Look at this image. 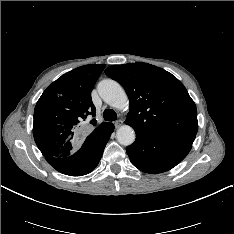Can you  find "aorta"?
I'll return each mask as SVG.
<instances>
[{
	"mask_svg": "<svg viewBox=\"0 0 234 234\" xmlns=\"http://www.w3.org/2000/svg\"><path fill=\"white\" fill-rule=\"evenodd\" d=\"M101 98L111 107L122 110L128 106L129 100L122 86L111 79H106L98 84ZM135 131L129 125L121 126L116 132L117 141L124 146H129L135 141Z\"/></svg>",
	"mask_w": 234,
	"mask_h": 234,
	"instance_id": "aorta-1",
	"label": "aorta"
}]
</instances>
